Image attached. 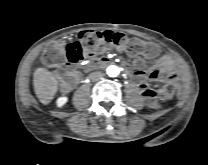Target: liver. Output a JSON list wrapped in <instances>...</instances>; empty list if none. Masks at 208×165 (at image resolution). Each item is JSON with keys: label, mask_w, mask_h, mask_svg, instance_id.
Masks as SVG:
<instances>
[{"label": "liver", "mask_w": 208, "mask_h": 165, "mask_svg": "<svg viewBox=\"0 0 208 165\" xmlns=\"http://www.w3.org/2000/svg\"><path fill=\"white\" fill-rule=\"evenodd\" d=\"M34 91L39 101L49 104L58 89V82L53 74L45 68H37L33 78Z\"/></svg>", "instance_id": "liver-1"}]
</instances>
